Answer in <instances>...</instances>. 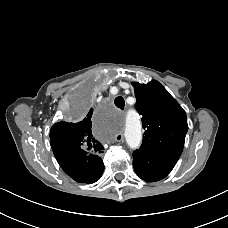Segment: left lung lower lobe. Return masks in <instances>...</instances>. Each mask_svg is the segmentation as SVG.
<instances>
[{"label": "left lung lower lobe", "mask_w": 228, "mask_h": 228, "mask_svg": "<svg viewBox=\"0 0 228 228\" xmlns=\"http://www.w3.org/2000/svg\"><path fill=\"white\" fill-rule=\"evenodd\" d=\"M179 157V154L141 147L133 152V166L141 179L155 182L171 172Z\"/></svg>", "instance_id": "1"}]
</instances>
